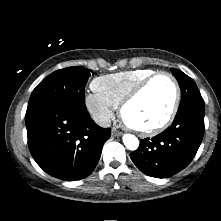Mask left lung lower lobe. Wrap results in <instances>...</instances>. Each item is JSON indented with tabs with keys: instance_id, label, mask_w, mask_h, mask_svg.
<instances>
[{
	"instance_id": "obj_1",
	"label": "left lung lower lobe",
	"mask_w": 221,
	"mask_h": 221,
	"mask_svg": "<svg viewBox=\"0 0 221 221\" xmlns=\"http://www.w3.org/2000/svg\"><path fill=\"white\" fill-rule=\"evenodd\" d=\"M204 115L205 104L179 108L170 127L152 139L141 140L130 154L136 167L157 178L170 177L187 167L202 142Z\"/></svg>"
}]
</instances>
